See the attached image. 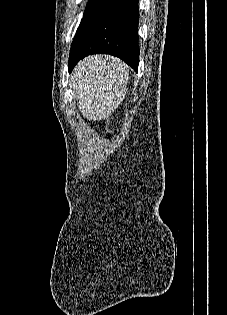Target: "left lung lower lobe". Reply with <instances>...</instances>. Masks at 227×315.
<instances>
[{
  "instance_id": "obj_1",
  "label": "left lung lower lobe",
  "mask_w": 227,
  "mask_h": 315,
  "mask_svg": "<svg viewBox=\"0 0 227 315\" xmlns=\"http://www.w3.org/2000/svg\"><path fill=\"white\" fill-rule=\"evenodd\" d=\"M139 0H97L84 15L71 45L68 68L92 54L114 55L138 71Z\"/></svg>"
}]
</instances>
